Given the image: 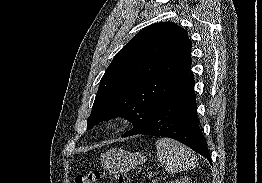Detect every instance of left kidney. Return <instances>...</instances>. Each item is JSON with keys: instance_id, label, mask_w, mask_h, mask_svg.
<instances>
[{"instance_id": "1", "label": "left kidney", "mask_w": 262, "mask_h": 183, "mask_svg": "<svg viewBox=\"0 0 262 183\" xmlns=\"http://www.w3.org/2000/svg\"><path fill=\"white\" fill-rule=\"evenodd\" d=\"M170 183H190V179L188 177L180 178L178 180L172 181Z\"/></svg>"}]
</instances>
